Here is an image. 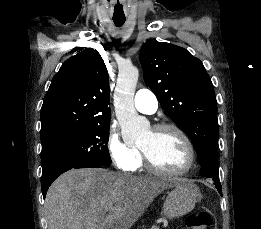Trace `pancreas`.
<instances>
[{
	"instance_id": "obj_1",
	"label": "pancreas",
	"mask_w": 261,
	"mask_h": 229,
	"mask_svg": "<svg viewBox=\"0 0 261 229\" xmlns=\"http://www.w3.org/2000/svg\"><path fill=\"white\" fill-rule=\"evenodd\" d=\"M152 229H159V227H152Z\"/></svg>"
}]
</instances>
